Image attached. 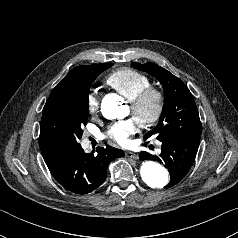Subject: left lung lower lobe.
<instances>
[{
	"instance_id": "obj_1",
	"label": "left lung lower lobe",
	"mask_w": 238,
	"mask_h": 238,
	"mask_svg": "<svg viewBox=\"0 0 238 238\" xmlns=\"http://www.w3.org/2000/svg\"><path fill=\"white\" fill-rule=\"evenodd\" d=\"M162 148L159 156L148 152H141V160H156L163 163L170 172V182L165 188H170L179 183L190 170L198 148L200 139L191 137H174L161 141Z\"/></svg>"
}]
</instances>
